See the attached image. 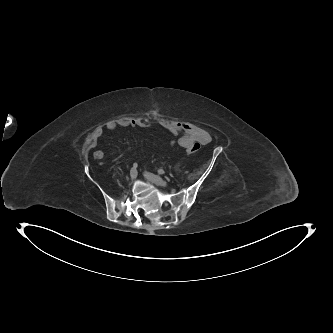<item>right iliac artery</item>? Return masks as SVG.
Listing matches in <instances>:
<instances>
[{"label": "right iliac artery", "instance_id": "1", "mask_svg": "<svg viewBox=\"0 0 333 333\" xmlns=\"http://www.w3.org/2000/svg\"><path fill=\"white\" fill-rule=\"evenodd\" d=\"M138 167L137 163L133 164V168L136 169Z\"/></svg>", "mask_w": 333, "mask_h": 333}]
</instances>
